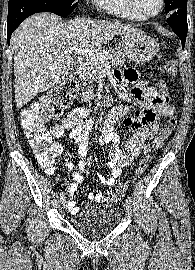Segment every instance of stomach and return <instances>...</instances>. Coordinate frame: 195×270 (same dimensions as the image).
Here are the masks:
<instances>
[{
  "label": "stomach",
  "instance_id": "obj_1",
  "mask_svg": "<svg viewBox=\"0 0 195 270\" xmlns=\"http://www.w3.org/2000/svg\"><path fill=\"white\" fill-rule=\"evenodd\" d=\"M122 47L128 59L137 64L148 63L159 51V43L140 30L125 34Z\"/></svg>",
  "mask_w": 195,
  "mask_h": 270
}]
</instances>
